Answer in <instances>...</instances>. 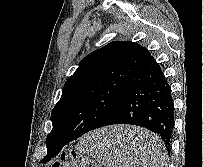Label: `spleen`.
<instances>
[{
	"label": "spleen",
	"mask_w": 203,
	"mask_h": 167,
	"mask_svg": "<svg viewBox=\"0 0 203 167\" xmlns=\"http://www.w3.org/2000/svg\"><path fill=\"white\" fill-rule=\"evenodd\" d=\"M108 132L96 131L85 136L78 147L106 167H166L167 152L163 142L158 138H149L143 147V157L135 162L127 161L118 154L114 143H111Z\"/></svg>",
	"instance_id": "spleen-1"
}]
</instances>
